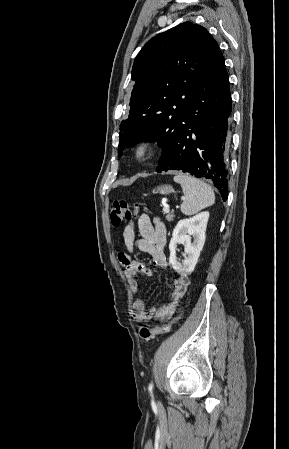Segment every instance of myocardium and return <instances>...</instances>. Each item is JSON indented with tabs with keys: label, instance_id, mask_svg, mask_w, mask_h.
<instances>
[{
	"label": "myocardium",
	"instance_id": "f54148a6",
	"mask_svg": "<svg viewBox=\"0 0 289 449\" xmlns=\"http://www.w3.org/2000/svg\"><path fill=\"white\" fill-rule=\"evenodd\" d=\"M153 154V146L148 141H140L133 148V156L138 161H145Z\"/></svg>",
	"mask_w": 289,
	"mask_h": 449
}]
</instances>
